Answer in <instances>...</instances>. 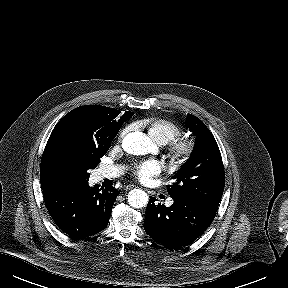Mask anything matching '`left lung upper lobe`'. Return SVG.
<instances>
[{
    "mask_svg": "<svg viewBox=\"0 0 288 288\" xmlns=\"http://www.w3.org/2000/svg\"><path fill=\"white\" fill-rule=\"evenodd\" d=\"M186 128L195 136L190 159L173 176V185L167 186L173 199L191 200L216 209L225 186V173L219 147L206 125L188 114Z\"/></svg>",
    "mask_w": 288,
    "mask_h": 288,
    "instance_id": "5c2ea615",
    "label": "left lung upper lobe"
}]
</instances>
